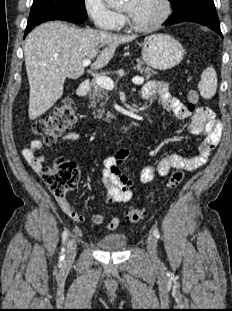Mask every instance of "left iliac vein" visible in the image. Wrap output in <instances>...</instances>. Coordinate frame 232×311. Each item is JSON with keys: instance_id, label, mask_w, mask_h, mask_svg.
Here are the masks:
<instances>
[{"instance_id": "left-iliac-vein-1", "label": "left iliac vein", "mask_w": 232, "mask_h": 311, "mask_svg": "<svg viewBox=\"0 0 232 311\" xmlns=\"http://www.w3.org/2000/svg\"><path fill=\"white\" fill-rule=\"evenodd\" d=\"M147 249L150 254L151 259L154 262H158V255H157V240L154 236H149L147 241Z\"/></svg>"}]
</instances>
